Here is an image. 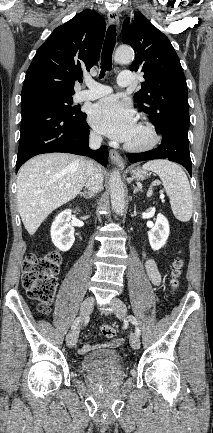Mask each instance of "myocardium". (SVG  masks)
Listing matches in <instances>:
<instances>
[{
  "instance_id": "myocardium-1",
  "label": "myocardium",
  "mask_w": 213,
  "mask_h": 433,
  "mask_svg": "<svg viewBox=\"0 0 213 433\" xmlns=\"http://www.w3.org/2000/svg\"><path fill=\"white\" fill-rule=\"evenodd\" d=\"M139 125L146 131L148 139L146 142L139 145H132L125 143L124 148L130 152H145L153 149L160 141V135L157 129L150 122L146 120H141Z\"/></svg>"
}]
</instances>
